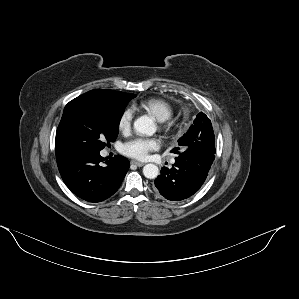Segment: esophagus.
<instances>
[{
  "label": "esophagus",
  "instance_id": "obj_1",
  "mask_svg": "<svg viewBox=\"0 0 299 299\" xmlns=\"http://www.w3.org/2000/svg\"><path fill=\"white\" fill-rule=\"evenodd\" d=\"M131 164H134V165H136V166H138V167H142V166L144 165L143 162H139V161H136V160H132V161H131Z\"/></svg>",
  "mask_w": 299,
  "mask_h": 299
}]
</instances>
